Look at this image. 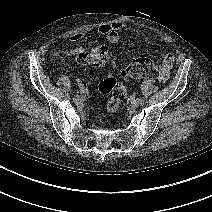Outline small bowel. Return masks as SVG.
<instances>
[{
    "label": "small bowel",
    "mask_w": 212,
    "mask_h": 212,
    "mask_svg": "<svg viewBox=\"0 0 212 212\" xmlns=\"http://www.w3.org/2000/svg\"><path fill=\"white\" fill-rule=\"evenodd\" d=\"M128 25L122 22H114L109 24H102L97 28L98 33L105 35L107 40L111 43L117 42L119 39V34L122 30L126 29ZM85 35L83 33H75L71 35L70 41L73 43H78L84 39ZM83 52V48H68L64 50L53 51L52 55L55 57L60 56H77ZM174 63V55L168 53L164 56L161 62L160 69V81H166L169 77V72ZM78 84L82 93H86L88 88L92 86V81L88 77H81L78 79Z\"/></svg>",
    "instance_id": "obj_1"
}]
</instances>
